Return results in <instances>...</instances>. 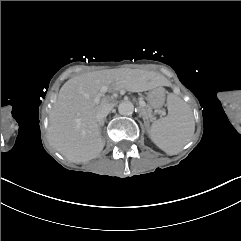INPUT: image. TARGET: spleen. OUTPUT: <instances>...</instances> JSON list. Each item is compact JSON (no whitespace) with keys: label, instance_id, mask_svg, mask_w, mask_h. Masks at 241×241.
<instances>
[{"label":"spleen","instance_id":"1","mask_svg":"<svg viewBox=\"0 0 241 241\" xmlns=\"http://www.w3.org/2000/svg\"><path fill=\"white\" fill-rule=\"evenodd\" d=\"M167 117L153 122L151 140L168 155H175L190 141L195 124L189 105L177 94L168 96Z\"/></svg>","mask_w":241,"mask_h":241}]
</instances>
